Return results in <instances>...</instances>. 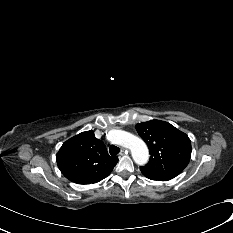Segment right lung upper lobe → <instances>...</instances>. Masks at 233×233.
Here are the masks:
<instances>
[{
  "mask_svg": "<svg viewBox=\"0 0 233 233\" xmlns=\"http://www.w3.org/2000/svg\"><path fill=\"white\" fill-rule=\"evenodd\" d=\"M62 174L77 184H93L106 178L118 162L92 130L82 132L63 143L56 156Z\"/></svg>",
  "mask_w": 233,
  "mask_h": 233,
  "instance_id": "obj_1",
  "label": "right lung upper lobe"
}]
</instances>
